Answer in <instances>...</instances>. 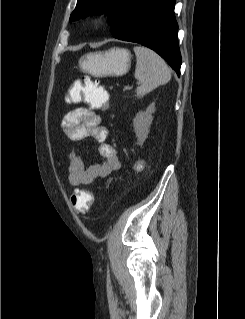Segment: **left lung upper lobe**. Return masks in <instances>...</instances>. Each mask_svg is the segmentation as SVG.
Here are the masks:
<instances>
[{
  "mask_svg": "<svg viewBox=\"0 0 245 319\" xmlns=\"http://www.w3.org/2000/svg\"><path fill=\"white\" fill-rule=\"evenodd\" d=\"M141 0H78L70 20H78L81 17L91 14L106 13L112 21V35L116 36L132 10Z\"/></svg>",
  "mask_w": 245,
  "mask_h": 319,
  "instance_id": "left-lung-upper-lobe-1",
  "label": "left lung upper lobe"
}]
</instances>
